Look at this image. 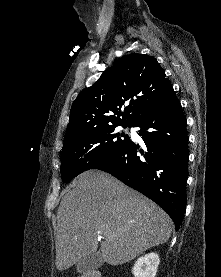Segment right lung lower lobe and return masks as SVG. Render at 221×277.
Returning <instances> with one entry per match:
<instances>
[{"instance_id":"98d812e1","label":"right lung lower lobe","mask_w":221,"mask_h":277,"mask_svg":"<svg viewBox=\"0 0 221 277\" xmlns=\"http://www.w3.org/2000/svg\"><path fill=\"white\" fill-rule=\"evenodd\" d=\"M186 125L180 101L171 90L131 124L140 128L145 151L129 141L92 168L110 173L153 200L170 215L176 230L186 207L189 156Z\"/></svg>"}]
</instances>
